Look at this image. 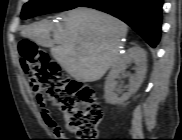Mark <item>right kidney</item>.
Returning <instances> with one entry per match:
<instances>
[{
	"instance_id": "ca27d5eb",
	"label": "right kidney",
	"mask_w": 182,
	"mask_h": 140,
	"mask_svg": "<svg viewBox=\"0 0 182 140\" xmlns=\"http://www.w3.org/2000/svg\"><path fill=\"white\" fill-rule=\"evenodd\" d=\"M133 62L135 64V73L131 75L129 80L128 92L124 93L121 97H118L114 93L116 87L115 79L118 75L124 71L128 64ZM147 70L146 52L139 46L132 47L124 53L119 60L112 66L105 82V100L107 103L116 104L127 101L132 94L136 93L140 88Z\"/></svg>"
}]
</instances>
